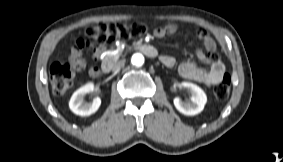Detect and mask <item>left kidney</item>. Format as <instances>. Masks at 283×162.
<instances>
[{
	"label": "left kidney",
	"mask_w": 283,
	"mask_h": 162,
	"mask_svg": "<svg viewBox=\"0 0 283 162\" xmlns=\"http://www.w3.org/2000/svg\"><path fill=\"white\" fill-rule=\"evenodd\" d=\"M181 87L187 89L191 94L190 99L181 100L179 97H175L173 102L176 109L187 116H193L199 114L207 102V96L205 92L197 85L190 82H182Z\"/></svg>",
	"instance_id": "1"
}]
</instances>
